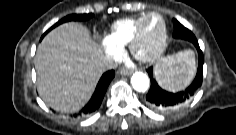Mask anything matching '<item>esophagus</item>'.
<instances>
[{"label": "esophagus", "mask_w": 236, "mask_h": 135, "mask_svg": "<svg viewBox=\"0 0 236 135\" xmlns=\"http://www.w3.org/2000/svg\"><path fill=\"white\" fill-rule=\"evenodd\" d=\"M133 69H125V68H123L121 71H120V73L122 74V75H130V74H132L133 73Z\"/></svg>", "instance_id": "34e87169"}]
</instances>
